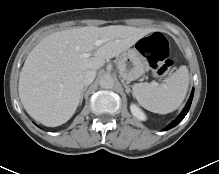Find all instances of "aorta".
<instances>
[{"mask_svg": "<svg viewBox=\"0 0 219 174\" xmlns=\"http://www.w3.org/2000/svg\"><path fill=\"white\" fill-rule=\"evenodd\" d=\"M99 85L103 89H111L114 86V80L111 76H104L100 79Z\"/></svg>", "mask_w": 219, "mask_h": 174, "instance_id": "1", "label": "aorta"}]
</instances>
